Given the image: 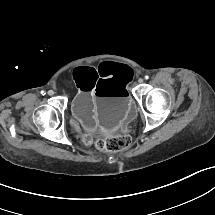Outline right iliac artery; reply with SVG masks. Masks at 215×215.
I'll return each instance as SVG.
<instances>
[{
    "instance_id": "82829eb1",
    "label": "right iliac artery",
    "mask_w": 215,
    "mask_h": 215,
    "mask_svg": "<svg viewBox=\"0 0 215 215\" xmlns=\"http://www.w3.org/2000/svg\"><path fill=\"white\" fill-rule=\"evenodd\" d=\"M41 94H42V95H45L46 93H45L44 91H41Z\"/></svg>"
}]
</instances>
